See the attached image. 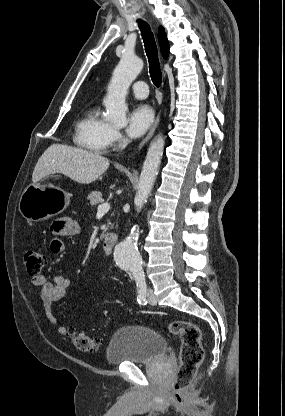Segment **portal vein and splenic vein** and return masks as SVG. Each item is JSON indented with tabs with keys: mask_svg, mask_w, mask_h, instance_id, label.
I'll return each instance as SVG.
<instances>
[{
	"mask_svg": "<svg viewBox=\"0 0 285 416\" xmlns=\"http://www.w3.org/2000/svg\"><path fill=\"white\" fill-rule=\"evenodd\" d=\"M110 210V204H100V206H98V216H100V214H107V212H109Z\"/></svg>",
	"mask_w": 285,
	"mask_h": 416,
	"instance_id": "1",
	"label": "portal vein and splenic vein"
}]
</instances>
